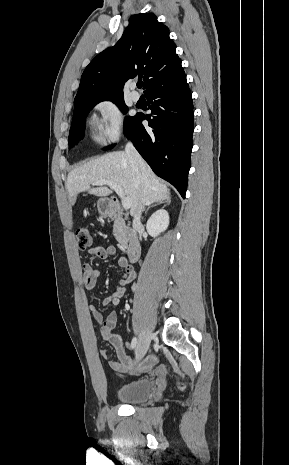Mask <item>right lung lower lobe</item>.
I'll list each match as a JSON object with an SVG mask.
<instances>
[{
	"label": "right lung lower lobe",
	"mask_w": 289,
	"mask_h": 465,
	"mask_svg": "<svg viewBox=\"0 0 289 465\" xmlns=\"http://www.w3.org/2000/svg\"><path fill=\"white\" fill-rule=\"evenodd\" d=\"M151 114H137L125 133L159 177L185 198L190 169L194 112L186 78L146 95ZM147 120L149 127L142 125Z\"/></svg>",
	"instance_id": "obj_1"
}]
</instances>
